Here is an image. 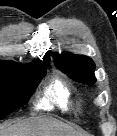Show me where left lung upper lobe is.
Segmentation results:
<instances>
[{"instance_id": "5c2ea615", "label": "left lung upper lobe", "mask_w": 117, "mask_h": 136, "mask_svg": "<svg viewBox=\"0 0 117 136\" xmlns=\"http://www.w3.org/2000/svg\"><path fill=\"white\" fill-rule=\"evenodd\" d=\"M54 62L57 68L75 81L88 85H93L96 82L94 76L95 64L87 56L63 52L54 55Z\"/></svg>"}]
</instances>
